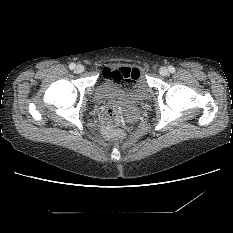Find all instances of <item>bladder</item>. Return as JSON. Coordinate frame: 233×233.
<instances>
[{
    "label": "bladder",
    "mask_w": 233,
    "mask_h": 233,
    "mask_svg": "<svg viewBox=\"0 0 233 233\" xmlns=\"http://www.w3.org/2000/svg\"><path fill=\"white\" fill-rule=\"evenodd\" d=\"M134 85L131 89H124L110 74L104 72L97 84V99L112 100L120 97L146 98L148 85L141 66L132 67Z\"/></svg>",
    "instance_id": "31cf9c89"
}]
</instances>
